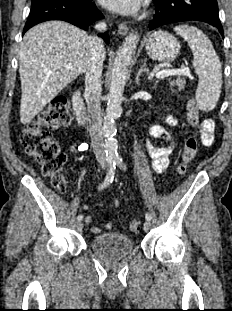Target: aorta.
Listing matches in <instances>:
<instances>
[{
    "mask_svg": "<svg viewBox=\"0 0 232 311\" xmlns=\"http://www.w3.org/2000/svg\"><path fill=\"white\" fill-rule=\"evenodd\" d=\"M138 41V34L132 31L119 48L112 67L108 103L102 127L104 147L109 159H116L118 157L115 121L122 113L121 103L128 74V66L136 50Z\"/></svg>",
    "mask_w": 232,
    "mask_h": 311,
    "instance_id": "obj_1",
    "label": "aorta"
}]
</instances>
